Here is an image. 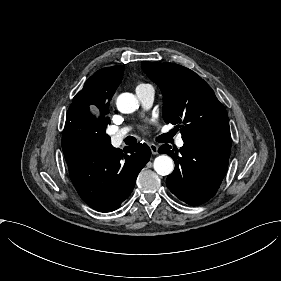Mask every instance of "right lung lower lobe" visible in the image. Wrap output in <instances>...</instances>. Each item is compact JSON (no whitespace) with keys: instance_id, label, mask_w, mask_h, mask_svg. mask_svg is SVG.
Here are the masks:
<instances>
[{"instance_id":"98d812e1","label":"right lung lower lobe","mask_w":281,"mask_h":281,"mask_svg":"<svg viewBox=\"0 0 281 281\" xmlns=\"http://www.w3.org/2000/svg\"><path fill=\"white\" fill-rule=\"evenodd\" d=\"M71 128H64L62 149L78 194L99 212L116 210L131 194L139 172L149 161L150 148L138 143L123 153L111 145L106 128Z\"/></svg>"}]
</instances>
